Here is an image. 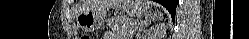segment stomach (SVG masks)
<instances>
[{"label":"stomach","mask_w":249,"mask_h":39,"mask_svg":"<svg viewBox=\"0 0 249 39\" xmlns=\"http://www.w3.org/2000/svg\"><path fill=\"white\" fill-rule=\"evenodd\" d=\"M123 11L130 16L141 17L148 13L149 6L143 0H125ZM107 11L105 8H95L82 12L77 19L78 26L85 32H93L102 27Z\"/></svg>","instance_id":"stomach-1"}]
</instances>
